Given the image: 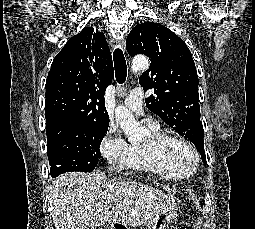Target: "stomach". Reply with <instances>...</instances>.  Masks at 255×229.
Instances as JSON below:
<instances>
[{"mask_svg":"<svg viewBox=\"0 0 255 229\" xmlns=\"http://www.w3.org/2000/svg\"><path fill=\"white\" fill-rule=\"evenodd\" d=\"M179 202L173 201L167 208L156 213L146 223V229H169L172 220L177 216ZM108 229H114L113 226ZM129 229V228H127Z\"/></svg>","mask_w":255,"mask_h":229,"instance_id":"stomach-1","label":"stomach"}]
</instances>
